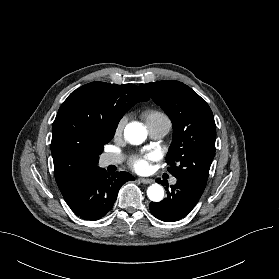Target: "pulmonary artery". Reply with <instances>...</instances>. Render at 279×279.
Wrapping results in <instances>:
<instances>
[{
	"mask_svg": "<svg viewBox=\"0 0 279 279\" xmlns=\"http://www.w3.org/2000/svg\"><path fill=\"white\" fill-rule=\"evenodd\" d=\"M171 123L169 120L157 123L151 126H148L149 134L154 139H161L163 138L170 130ZM122 160L121 156L116 154H106L101 158V165L102 166H109L113 164H118ZM171 184H175L177 182L176 178H172L170 180Z\"/></svg>",
	"mask_w": 279,
	"mask_h": 279,
	"instance_id": "e3ab8cb5",
	"label": "pulmonary artery"
}]
</instances>
